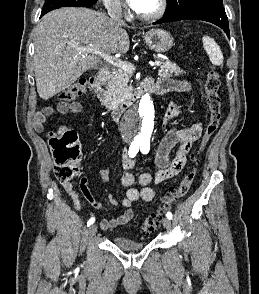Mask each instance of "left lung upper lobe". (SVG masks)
<instances>
[{
	"label": "left lung upper lobe",
	"instance_id": "5c2ea615",
	"mask_svg": "<svg viewBox=\"0 0 259 294\" xmlns=\"http://www.w3.org/2000/svg\"><path fill=\"white\" fill-rule=\"evenodd\" d=\"M203 4L223 6L222 0H168V10L165 16L183 12Z\"/></svg>",
	"mask_w": 259,
	"mask_h": 294
}]
</instances>
